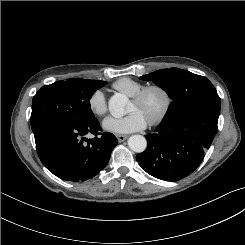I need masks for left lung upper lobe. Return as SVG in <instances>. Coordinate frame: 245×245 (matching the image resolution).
<instances>
[{
    "instance_id": "1",
    "label": "left lung upper lobe",
    "mask_w": 245,
    "mask_h": 245,
    "mask_svg": "<svg viewBox=\"0 0 245 245\" xmlns=\"http://www.w3.org/2000/svg\"><path fill=\"white\" fill-rule=\"evenodd\" d=\"M153 81L173 99L160 124H168L182 115L198 110L220 112V98L215 87L205 77L178 68L161 69L139 77Z\"/></svg>"
}]
</instances>
